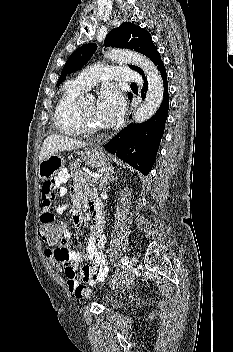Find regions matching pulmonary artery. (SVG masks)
Segmentation results:
<instances>
[{
    "mask_svg": "<svg viewBox=\"0 0 233 352\" xmlns=\"http://www.w3.org/2000/svg\"><path fill=\"white\" fill-rule=\"evenodd\" d=\"M106 80L140 82L141 77L128 67L95 65L82 71L73 81L81 88L88 90L96 83Z\"/></svg>",
    "mask_w": 233,
    "mask_h": 352,
    "instance_id": "obj_1",
    "label": "pulmonary artery"
}]
</instances>
